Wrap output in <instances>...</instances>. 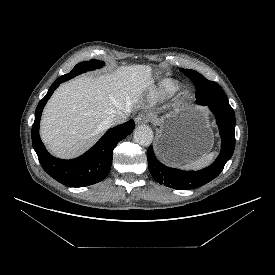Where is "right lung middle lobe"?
Segmentation results:
<instances>
[{"instance_id":"dd1d6c3e","label":"right lung middle lobe","mask_w":275,"mask_h":275,"mask_svg":"<svg viewBox=\"0 0 275 275\" xmlns=\"http://www.w3.org/2000/svg\"><path fill=\"white\" fill-rule=\"evenodd\" d=\"M103 65H104L103 62H100L99 60H95V59L86 61V62H81V63L77 64L70 73L63 75L62 77L68 78V80H69V79L75 77L76 75H79V74L84 73L89 70L100 68Z\"/></svg>"}]
</instances>
